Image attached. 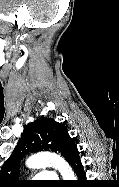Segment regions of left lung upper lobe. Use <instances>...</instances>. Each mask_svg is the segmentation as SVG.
<instances>
[{
    "mask_svg": "<svg viewBox=\"0 0 119 187\" xmlns=\"http://www.w3.org/2000/svg\"><path fill=\"white\" fill-rule=\"evenodd\" d=\"M75 141L66 126L51 118H40L29 123L19 143L0 171V187H17L24 181L17 180L20 160L28 152L52 151L68 159Z\"/></svg>",
    "mask_w": 119,
    "mask_h": 187,
    "instance_id": "5c2ea615",
    "label": "left lung upper lobe"
}]
</instances>
